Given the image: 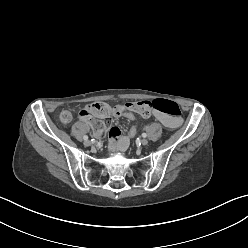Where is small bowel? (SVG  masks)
Listing matches in <instances>:
<instances>
[{
  "instance_id": "small-bowel-1",
  "label": "small bowel",
  "mask_w": 248,
  "mask_h": 248,
  "mask_svg": "<svg viewBox=\"0 0 248 248\" xmlns=\"http://www.w3.org/2000/svg\"><path fill=\"white\" fill-rule=\"evenodd\" d=\"M124 110L128 109H125L124 106H117V112L115 114L112 113L111 116L123 117ZM154 116L161 124L168 128H176L182 123L181 118H175L159 111H155ZM106 137L108 140H110L109 150L111 152H124L127 149L129 145V139L131 138L129 133L127 135H122L121 130L117 126L108 128L106 131Z\"/></svg>"
}]
</instances>
